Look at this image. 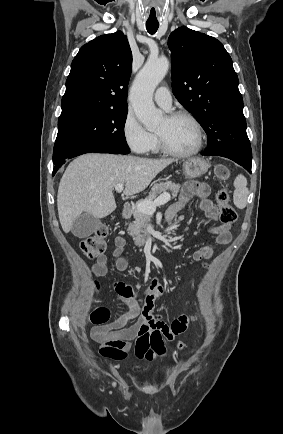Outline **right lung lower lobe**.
<instances>
[{
    "mask_svg": "<svg viewBox=\"0 0 283 434\" xmlns=\"http://www.w3.org/2000/svg\"><path fill=\"white\" fill-rule=\"evenodd\" d=\"M91 152H95V153H112V154H120L116 151L110 150V149H106V148H89V149H84V150H80L78 152L73 153L72 155H70L67 159H71L73 157L85 154V153H91ZM62 160L61 162L55 164V167L53 169V175H55V173L57 172V170L65 163V161L67 160Z\"/></svg>",
    "mask_w": 283,
    "mask_h": 434,
    "instance_id": "1",
    "label": "right lung lower lobe"
}]
</instances>
